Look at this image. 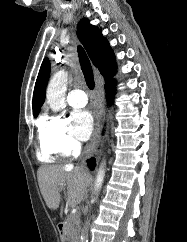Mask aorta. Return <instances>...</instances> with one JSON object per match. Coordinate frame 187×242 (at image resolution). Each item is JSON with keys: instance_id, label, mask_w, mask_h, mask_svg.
Here are the masks:
<instances>
[{"instance_id": "obj_1", "label": "aorta", "mask_w": 187, "mask_h": 242, "mask_svg": "<svg viewBox=\"0 0 187 242\" xmlns=\"http://www.w3.org/2000/svg\"><path fill=\"white\" fill-rule=\"evenodd\" d=\"M68 83V72L64 70L57 71L51 78L47 90H46V99L50 108L53 111H59L64 107L65 102V92L67 89ZM105 163H102L95 180V190L98 191L103 183L105 176ZM82 242H87L86 237L84 236Z\"/></svg>"}]
</instances>
